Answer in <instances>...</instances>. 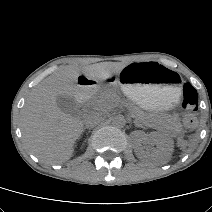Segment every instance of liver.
Instances as JSON below:
<instances>
[{
    "label": "liver",
    "instance_id": "1",
    "mask_svg": "<svg viewBox=\"0 0 212 212\" xmlns=\"http://www.w3.org/2000/svg\"><path fill=\"white\" fill-rule=\"evenodd\" d=\"M126 64L103 62L82 68L91 78L106 80L119 75ZM80 70L66 66L44 79L30 94L21 112L25 145L45 164H60L71 158L76 140L83 132V120L61 111L56 97H74Z\"/></svg>",
    "mask_w": 212,
    "mask_h": 212
}]
</instances>
